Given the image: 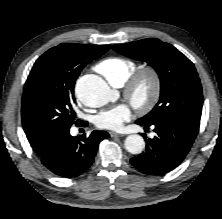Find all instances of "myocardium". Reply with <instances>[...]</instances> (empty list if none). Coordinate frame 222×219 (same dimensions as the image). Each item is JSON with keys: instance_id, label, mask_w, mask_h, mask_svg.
<instances>
[{"instance_id": "1", "label": "myocardium", "mask_w": 222, "mask_h": 219, "mask_svg": "<svg viewBox=\"0 0 222 219\" xmlns=\"http://www.w3.org/2000/svg\"><path fill=\"white\" fill-rule=\"evenodd\" d=\"M143 81L148 82L149 92L145 99L139 100L136 98V91L139 84ZM161 75L153 66H144L135 70L125 81L124 96L129 100L134 108L140 112H149L152 110L161 93Z\"/></svg>"}]
</instances>
